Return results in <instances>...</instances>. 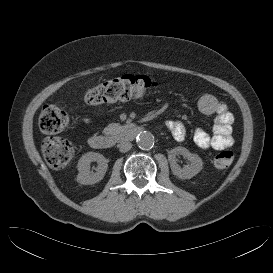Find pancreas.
Listing matches in <instances>:
<instances>
[{
  "instance_id": "cf45deb5",
  "label": "pancreas",
  "mask_w": 273,
  "mask_h": 273,
  "mask_svg": "<svg viewBox=\"0 0 273 273\" xmlns=\"http://www.w3.org/2000/svg\"><path fill=\"white\" fill-rule=\"evenodd\" d=\"M125 130V127L118 123H111L107 127L104 128L103 133L105 135H110L117 137L121 135Z\"/></svg>"
}]
</instances>
